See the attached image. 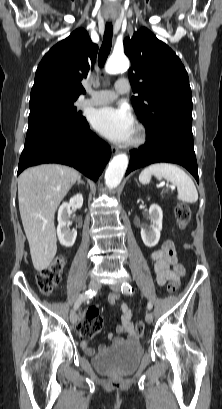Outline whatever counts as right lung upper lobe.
Here are the masks:
<instances>
[{"instance_id": "cb5924a9", "label": "right lung upper lobe", "mask_w": 222, "mask_h": 409, "mask_svg": "<svg viewBox=\"0 0 222 409\" xmlns=\"http://www.w3.org/2000/svg\"><path fill=\"white\" fill-rule=\"evenodd\" d=\"M97 51L98 46L82 28L53 46L37 68L29 107L76 101L85 93L81 80L93 69Z\"/></svg>"}]
</instances>
